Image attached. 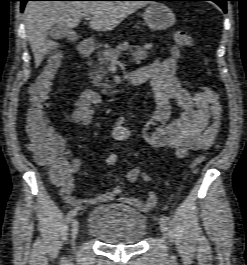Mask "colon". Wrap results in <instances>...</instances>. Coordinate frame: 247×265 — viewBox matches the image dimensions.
<instances>
[{"mask_svg":"<svg viewBox=\"0 0 247 265\" xmlns=\"http://www.w3.org/2000/svg\"><path fill=\"white\" fill-rule=\"evenodd\" d=\"M193 45V38L187 32H176L171 56L176 63L182 57V49L190 48ZM62 65L60 53L53 54L42 68L38 76L29 87L30 108L27 113L26 130L29 138L27 148L34 159L42 166L47 167L52 179H64L68 176L70 165L67 159L63 158V139L52 131L46 117V100L50 91L51 83L59 73ZM202 155L194 158L190 164L192 171H197L203 162ZM118 156L111 153L106 158L108 166H115Z\"/></svg>","mask_w":247,"mask_h":265,"instance_id":"5ec220e1","label":"colon"}]
</instances>
